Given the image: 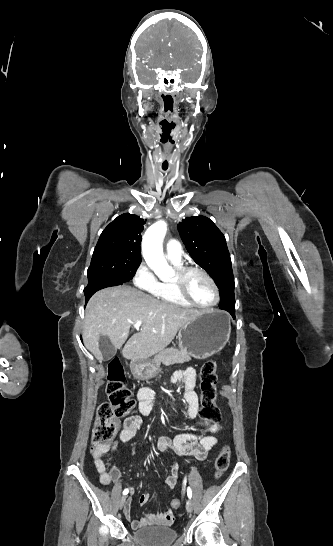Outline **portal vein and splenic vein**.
<instances>
[{
  "instance_id": "portal-vein-and-splenic-vein-1",
  "label": "portal vein and splenic vein",
  "mask_w": 333,
  "mask_h": 546,
  "mask_svg": "<svg viewBox=\"0 0 333 546\" xmlns=\"http://www.w3.org/2000/svg\"><path fill=\"white\" fill-rule=\"evenodd\" d=\"M141 325H142V321H141V320H138V321H136V323H134L133 326H134L137 330H139V328H140Z\"/></svg>"
}]
</instances>
